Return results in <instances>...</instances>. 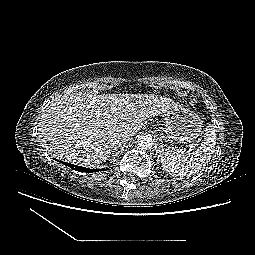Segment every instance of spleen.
Wrapping results in <instances>:
<instances>
[{"label":"spleen","mask_w":255,"mask_h":255,"mask_svg":"<svg viewBox=\"0 0 255 255\" xmlns=\"http://www.w3.org/2000/svg\"><path fill=\"white\" fill-rule=\"evenodd\" d=\"M216 145V133L208 124L201 146L191 155L182 149H166L161 163L163 169L173 176H187L198 173L210 161Z\"/></svg>","instance_id":"obj_1"}]
</instances>
